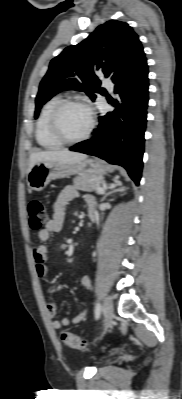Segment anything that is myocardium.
Masks as SVG:
<instances>
[{
    "mask_svg": "<svg viewBox=\"0 0 182 399\" xmlns=\"http://www.w3.org/2000/svg\"><path fill=\"white\" fill-rule=\"evenodd\" d=\"M81 106L86 109L89 115V126L85 133L77 138H68L61 130L59 118L62 111L68 106ZM95 128V118L90 106L80 99H64L59 102L53 109L50 116V130L53 136L62 144H77L87 140Z\"/></svg>",
    "mask_w": 182,
    "mask_h": 399,
    "instance_id": "1",
    "label": "myocardium"
}]
</instances>
